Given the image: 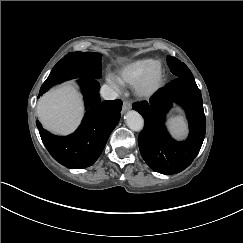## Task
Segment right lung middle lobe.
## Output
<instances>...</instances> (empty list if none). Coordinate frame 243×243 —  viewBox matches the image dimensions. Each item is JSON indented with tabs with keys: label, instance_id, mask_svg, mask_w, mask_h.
Returning a JSON list of instances; mask_svg holds the SVG:
<instances>
[{
	"label": "right lung middle lobe",
	"instance_id": "right-lung-middle-lobe-1",
	"mask_svg": "<svg viewBox=\"0 0 243 243\" xmlns=\"http://www.w3.org/2000/svg\"><path fill=\"white\" fill-rule=\"evenodd\" d=\"M101 57L102 55L96 52L68 53L53 67L40 89L38 98L52 86L66 80L82 77L100 78Z\"/></svg>",
	"mask_w": 243,
	"mask_h": 243
}]
</instances>
